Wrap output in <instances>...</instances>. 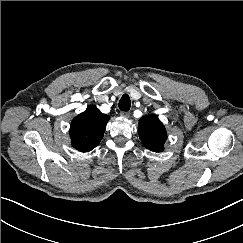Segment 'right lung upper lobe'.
Wrapping results in <instances>:
<instances>
[{
  "label": "right lung upper lobe",
  "instance_id": "1",
  "mask_svg": "<svg viewBox=\"0 0 243 243\" xmlns=\"http://www.w3.org/2000/svg\"><path fill=\"white\" fill-rule=\"evenodd\" d=\"M109 116L102 114L95 106H89L76 116L70 126V138L75 149L88 152L103 138Z\"/></svg>",
  "mask_w": 243,
  "mask_h": 243
}]
</instances>
